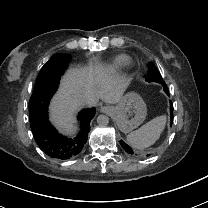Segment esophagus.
Listing matches in <instances>:
<instances>
[{
    "mask_svg": "<svg viewBox=\"0 0 208 208\" xmlns=\"http://www.w3.org/2000/svg\"><path fill=\"white\" fill-rule=\"evenodd\" d=\"M101 111H102L103 113L110 114L109 109H107L106 107H102V108H101Z\"/></svg>",
    "mask_w": 208,
    "mask_h": 208,
    "instance_id": "esophagus-1",
    "label": "esophagus"
}]
</instances>
